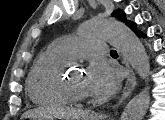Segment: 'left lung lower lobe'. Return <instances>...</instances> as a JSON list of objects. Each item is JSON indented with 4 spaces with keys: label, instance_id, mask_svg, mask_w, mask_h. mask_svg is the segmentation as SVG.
Instances as JSON below:
<instances>
[{
    "label": "left lung lower lobe",
    "instance_id": "0a47b994",
    "mask_svg": "<svg viewBox=\"0 0 165 120\" xmlns=\"http://www.w3.org/2000/svg\"><path fill=\"white\" fill-rule=\"evenodd\" d=\"M129 27L138 35V36H142V37H145V34H143L142 32L138 31L136 32L135 31V28H136V24L135 23H130Z\"/></svg>",
    "mask_w": 165,
    "mask_h": 120
}]
</instances>
